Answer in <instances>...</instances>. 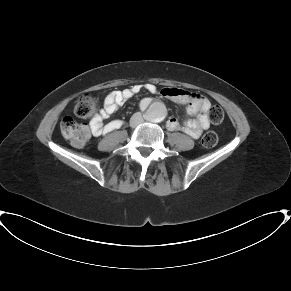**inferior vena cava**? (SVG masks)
I'll return each instance as SVG.
<instances>
[{"label": "inferior vena cava", "mask_w": 291, "mask_h": 291, "mask_svg": "<svg viewBox=\"0 0 291 291\" xmlns=\"http://www.w3.org/2000/svg\"><path fill=\"white\" fill-rule=\"evenodd\" d=\"M144 122V119L140 112L134 113L130 119V125L136 127Z\"/></svg>", "instance_id": "1"}]
</instances>
